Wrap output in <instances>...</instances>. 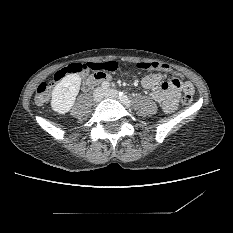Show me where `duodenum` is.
<instances>
[{
	"label": "duodenum",
	"instance_id": "1",
	"mask_svg": "<svg viewBox=\"0 0 233 233\" xmlns=\"http://www.w3.org/2000/svg\"><path fill=\"white\" fill-rule=\"evenodd\" d=\"M108 80H109V77L105 73L96 72L85 80L84 86L85 87L95 86L99 83H102Z\"/></svg>",
	"mask_w": 233,
	"mask_h": 233
}]
</instances>
